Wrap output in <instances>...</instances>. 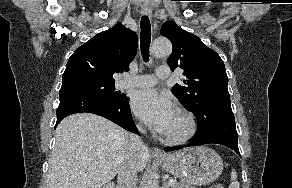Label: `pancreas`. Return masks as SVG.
<instances>
[{
  "label": "pancreas",
  "mask_w": 292,
  "mask_h": 188,
  "mask_svg": "<svg viewBox=\"0 0 292 188\" xmlns=\"http://www.w3.org/2000/svg\"><path fill=\"white\" fill-rule=\"evenodd\" d=\"M173 188H193L192 185L190 183L187 182H179L176 183Z\"/></svg>",
  "instance_id": "1"
}]
</instances>
